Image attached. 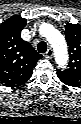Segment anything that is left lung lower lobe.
<instances>
[{
  "label": "left lung lower lobe",
  "instance_id": "1",
  "mask_svg": "<svg viewBox=\"0 0 81 124\" xmlns=\"http://www.w3.org/2000/svg\"><path fill=\"white\" fill-rule=\"evenodd\" d=\"M60 79V81L62 82V83H64V84H66V85H68L66 82H64L61 78H59ZM69 86V85H68Z\"/></svg>",
  "mask_w": 81,
  "mask_h": 124
}]
</instances>
